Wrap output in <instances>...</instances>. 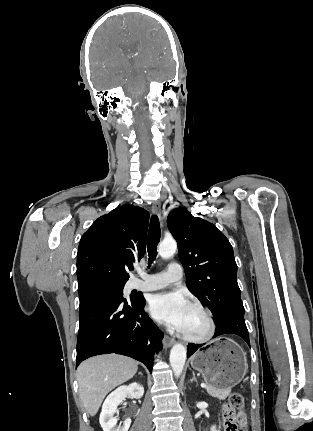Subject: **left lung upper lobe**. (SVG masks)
Masks as SVG:
<instances>
[{
	"label": "left lung upper lobe",
	"mask_w": 313,
	"mask_h": 431,
	"mask_svg": "<svg viewBox=\"0 0 313 431\" xmlns=\"http://www.w3.org/2000/svg\"><path fill=\"white\" fill-rule=\"evenodd\" d=\"M167 226L178 243L187 287L210 309L215 323L228 316L244 315L237 264L225 235L214 224L192 216L185 208L172 210Z\"/></svg>",
	"instance_id": "left-lung-upper-lobe-1"
}]
</instances>
